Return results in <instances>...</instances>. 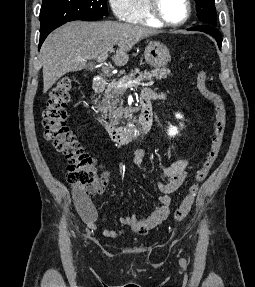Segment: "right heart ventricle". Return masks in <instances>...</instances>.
Segmentation results:
<instances>
[{
	"instance_id": "right-heart-ventricle-1",
	"label": "right heart ventricle",
	"mask_w": 255,
	"mask_h": 287,
	"mask_svg": "<svg viewBox=\"0 0 255 287\" xmlns=\"http://www.w3.org/2000/svg\"><path fill=\"white\" fill-rule=\"evenodd\" d=\"M125 33H148V32H125ZM113 39V38H109ZM131 39H141V38H131ZM148 39H163V38H148ZM156 48H166V47H156Z\"/></svg>"
}]
</instances>
